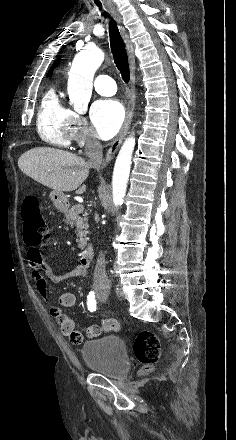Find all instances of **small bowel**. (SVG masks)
<instances>
[{
    "label": "small bowel",
    "instance_id": "1",
    "mask_svg": "<svg viewBox=\"0 0 236 440\" xmlns=\"http://www.w3.org/2000/svg\"><path fill=\"white\" fill-rule=\"evenodd\" d=\"M27 259L31 268L32 276L35 279L36 287L40 295L48 298V284H60L69 279L81 278L86 274L82 266H78L66 274H55L52 268L44 261L40 250L37 247L30 246L27 249ZM59 305L61 307H72L76 302V297L72 292H64L59 296ZM60 306H52L50 315L59 325L62 335L69 338L73 345H80L83 340V334L75 329V323L71 316L62 312ZM118 328V322L115 319H106L99 324H91L87 329V336L97 337L103 333V337L110 338Z\"/></svg>",
    "mask_w": 236,
    "mask_h": 440
}]
</instances>
